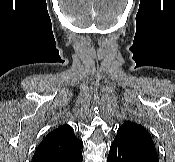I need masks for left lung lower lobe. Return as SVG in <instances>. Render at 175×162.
Here are the masks:
<instances>
[{"label":"left lung lower lobe","instance_id":"1","mask_svg":"<svg viewBox=\"0 0 175 162\" xmlns=\"http://www.w3.org/2000/svg\"><path fill=\"white\" fill-rule=\"evenodd\" d=\"M107 162H159V158L153 144L115 138Z\"/></svg>","mask_w":175,"mask_h":162}]
</instances>
